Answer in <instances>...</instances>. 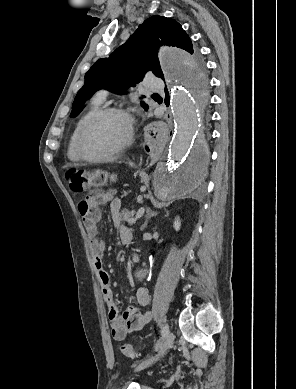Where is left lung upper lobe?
<instances>
[{
    "label": "left lung upper lobe",
    "mask_w": 296,
    "mask_h": 389,
    "mask_svg": "<svg viewBox=\"0 0 296 389\" xmlns=\"http://www.w3.org/2000/svg\"><path fill=\"white\" fill-rule=\"evenodd\" d=\"M161 45L175 46L189 52L191 79L196 85L206 87L205 65L190 37L177 21L156 15L140 24L109 58L99 59L89 69L85 74L84 86L75 97L70 116H77L85 101L99 89L123 94L129 87L142 81L148 71L164 80L157 56ZM142 106L148 110V105L142 103Z\"/></svg>",
    "instance_id": "obj_1"
}]
</instances>
